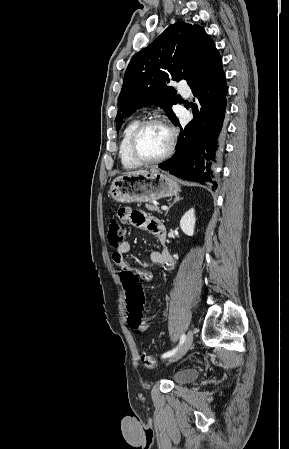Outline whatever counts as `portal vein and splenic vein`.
Returning a JSON list of instances; mask_svg holds the SVG:
<instances>
[{
  "label": "portal vein and splenic vein",
  "mask_w": 289,
  "mask_h": 449,
  "mask_svg": "<svg viewBox=\"0 0 289 449\" xmlns=\"http://www.w3.org/2000/svg\"><path fill=\"white\" fill-rule=\"evenodd\" d=\"M161 209L162 210H167L168 208H167V206L163 205V206H161Z\"/></svg>",
  "instance_id": "obj_1"
}]
</instances>
